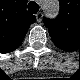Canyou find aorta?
Here are the masks:
<instances>
[{
  "instance_id": "obj_1",
  "label": "aorta",
  "mask_w": 80,
  "mask_h": 80,
  "mask_svg": "<svg viewBox=\"0 0 80 80\" xmlns=\"http://www.w3.org/2000/svg\"><path fill=\"white\" fill-rule=\"evenodd\" d=\"M59 5L56 3H48L45 6V12L50 17H56L58 15Z\"/></svg>"
}]
</instances>
